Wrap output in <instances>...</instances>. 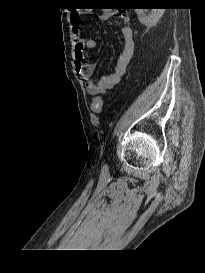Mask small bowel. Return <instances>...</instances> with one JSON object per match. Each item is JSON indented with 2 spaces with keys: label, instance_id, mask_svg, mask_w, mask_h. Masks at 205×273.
I'll list each match as a JSON object with an SVG mask.
<instances>
[{
  "label": "small bowel",
  "instance_id": "c3829d8e",
  "mask_svg": "<svg viewBox=\"0 0 205 273\" xmlns=\"http://www.w3.org/2000/svg\"><path fill=\"white\" fill-rule=\"evenodd\" d=\"M110 16L111 12L105 11L101 15V18L106 19ZM120 17L125 22V25L121 29V34L124 39L123 50L116 60L113 72L102 76L98 82H95L92 79V74L96 65L94 63L84 64V51L93 50L96 47V42L93 39L85 40L80 37L82 16L79 13H72L70 16L73 33L75 36V67L78 75L85 85L87 92L91 95L103 94L116 86L120 82L129 61L132 58L134 52L133 28L127 14H121Z\"/></svg>",
  "mask_w": 205,
  "mask_h": 273
}]
</instances>
